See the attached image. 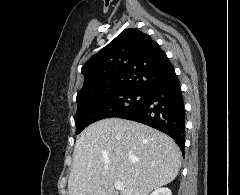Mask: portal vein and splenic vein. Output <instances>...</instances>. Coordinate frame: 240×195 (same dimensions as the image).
Returning <instances> with one entry per match:
<instances>
[{"instance_id": "obj_1", "label": "portal vein and splenic vein", "mask_w": 240, "mask_h": 195, "mask_svg": "<svg viewBox=\"0 0 240 195\" xmlns=\"http://www.w3.org/2000/svg\"><path fill=\"white\" fill-rule=\"evenodd\" d=\"M114 187L115 189H124V185L121 183V181H115Z\"/></svg>"}]
</instances>
